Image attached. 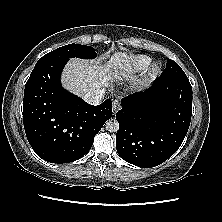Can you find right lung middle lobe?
Masks as SVG:
<instances>
[{
  "mask_svg": "<svg viewBox=\"0 0 222 222\" xmlns=\"http://www.w3.org/2000/svg\"><path fill=\"white\" fill-rule=\"evenodd\" d=\"M74 57L81 59H92L96 57V50L90 46H83L74 43L65 45L44 55L39 59L35 66L50 61H66L69 60V58Z\"/></svg>",
  "mask_w": 222,
  "mask_h": 222,
  "instance_id": "obj_1",
  "label": "right lung middle lobe"
}]
</instances>
